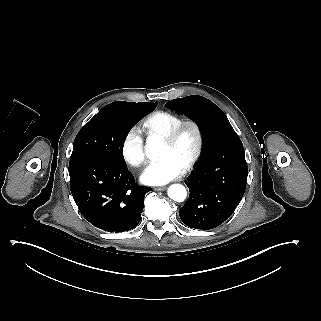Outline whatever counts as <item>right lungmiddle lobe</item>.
<instances>
[{"label":"right lung middle lobe","instance_id":"obj_1","mask_svg":"<svg viewBox=\"0 0 321 321\" xmlns=\"http://www.w3.org/2000/svg\"><path fill=\"white\" fill-rule=\"evenodd\" d=\"M157 103L117 101L103 107L77 134L71 158L96 156L126 164L123 145L131 128Z\"/></svg>","mask_w":321,"mask_h":321}]
</instances>
